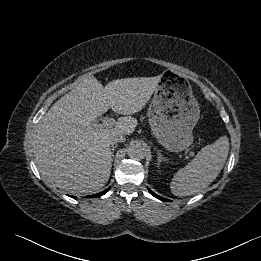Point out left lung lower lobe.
Wrapping results in <instances>:
<instances>
[{
	"mask_svg": "<svg viewBox=\"0 0 261 261\" xmlns=\"http://www.w3.org/2000/svg\"><path fill=\"white\" fill-rule=\"evenodd\" d=\"M148 190H149V192H150L154 197H156V198H158V199H160V200H163V201H167V199H164V198L158 196L157 194H155L154 192H152L149 188H148Z\"/></svg>",
	"mask_w": 261,
	"mask_h": 261,
	"instance_id": "obj_1",
	"label": "left lung lower lobe"
}]
</instances>
